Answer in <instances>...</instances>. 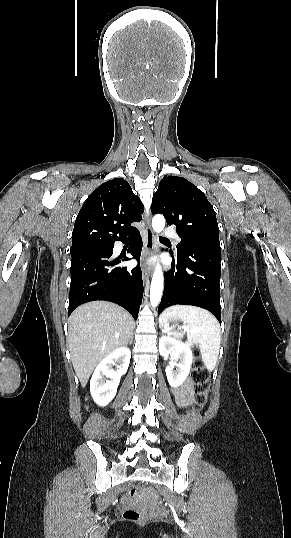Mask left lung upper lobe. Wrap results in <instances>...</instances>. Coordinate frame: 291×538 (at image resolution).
I'll return each instance as SVG.
<instances>
[{"label": "left lung upper lobe", "instance_id": "5c2ea615", "mask_svg": "<svg viewBox=\"0 0 291 538\" xmlns=\"http://www.w3.org/2000/svg\"><path fill=\"white\" fill-rule=\"evenodd\" d=\"M151 211L176 226L181 238L177 254L190 247L220 249L215 211L204 193L185 178L164 176L153 195Z\"/></svg>", "mask_w": 291, "mask_h": 538}]
</instances>
